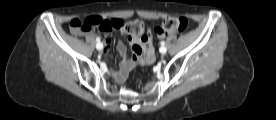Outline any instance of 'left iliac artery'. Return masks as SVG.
<instances>
[{
    "label": "left iliac artery",
    "mask_w": 276,
    "mask_h": 120,
    "mask_svg": "<svg viewBox=\"0 0 276 120\" xmlns=\"http://www.w3.org/2000/svg\"><path fill=\"white\" fill-rule=\"evenodd\" d=\"M165 45V42L164 41H161V46H164Z\"/></svg>",
    "instance_id": "1"
}]
</instances>
